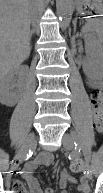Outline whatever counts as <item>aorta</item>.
Here are the masks:
<instances>
[{
  "instance_id": "762f6f07",
  "label": "aorta",
  "mask_w": 103,
  "mask_h": 193,
  "mask_svg": "<svg viewBox=\"0 0 103 193\" xmlns=\"http://www.w3.org/2000/svg\"><path fill=\"white\" fill-rule=\"evenodd\" d=\"M73 10V0H56V12L63 28L69 25Z\"/></svg>"
}]
</instances>
